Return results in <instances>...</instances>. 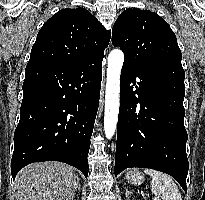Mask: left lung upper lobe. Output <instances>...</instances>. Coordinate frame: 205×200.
Listing matches in <instances>:
<instances>
[{
    "mask_svg": "<svg viewBox=\"0 0 205 200\" xmlns=\"http://www.w3.org/2000/svg\"><path fill=\"white\" fill-rule=\"evenodd\" d=\"M112 44L124 52V64L145 67L168 61L181 63L182 54L170 26L148 10L126 9L112 29Z\"/></svg>",
    "mask_w": 205,
    "mask_h": 200,
    "instance_id": "obj_1",
    "label": "left lung upper lobe"
}]
</instances>
